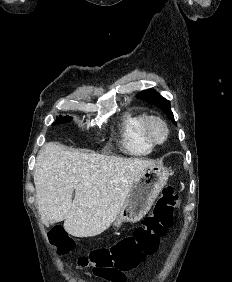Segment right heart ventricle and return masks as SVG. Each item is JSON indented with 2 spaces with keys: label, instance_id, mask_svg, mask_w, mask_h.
Here are the masks:
<instances>
[{
  "label": "right heart ventricle",
  "instance_id": "obj_1",
  "mask_svg": "<svg viewBox=\"0 0 232 282\" xmlns=\"http://www.w3.org/2000/svg\"><path fill=\"white\" fill-rule=\"evenodd\" d=\"M146 116L142 112L132 110L125 111L122 114L119 128V145L125 154L146 156L153 151L154 146L144 139L141 131Z\"/></svg>",
  "mask_w": 232,
  "mask_h": 282
}]
</instances>
